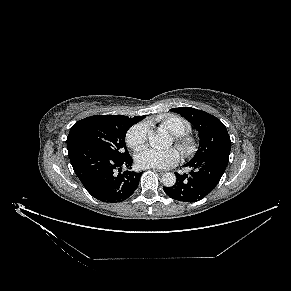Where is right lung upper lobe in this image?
Returning <instances> with one entry per match:
<instances>
[{"mask_svg": "<svg viewBox=\"0 0 291 291\" xmlns=\"http://www.w3.org/2000/svg\"><path fill=\"white\" fill-rule=\"evenodd\" d=\"M143 118H145L144 116H135L134 118H129L127 116H122V115H95V116H91L85 119H82L78 122H76L71 130L70 133L67 137V141L68 139H70L72 137V135L74 134V132L82 127L85 124L91 123V122H97V121H124V122H128L130 124H134L140 120H142ZM72 146H67V148H71Z\"/></svg>", "mask_w": 291, "mask_h": 291, "instance_id": "right-lung-upper-lobe-1", "label": "right lung upper lobe"}]
</instances>
